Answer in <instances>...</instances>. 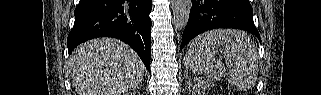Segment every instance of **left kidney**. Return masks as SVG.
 Listing matches in <instances>:
<instances>
[{"instance_id":"obj_1","label":"left kidney","mask_w":321,"mask_h":95,"mask_svg":"<svg viewBox=\"0 0 321 95\" xmlns=\"http://www.w3.org/2000/svg\"><path fill=\"white\" fill-rule=\"evenodd\" d=\"M205 91V88L203 87H195L193 88V94L194 95H201Z\"/></svg>"}]
</instances>
